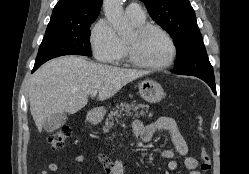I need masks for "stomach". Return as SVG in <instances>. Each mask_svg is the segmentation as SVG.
I'll return each instance as SVG.
<instances>
[{"instance_id": "0dacf381", "label": "stomach", "mask_w": 249, "mask_h": 174, "mask_svg": "<svg viewBox=\"0 0 249 174\" xmlns=\"http://www.w3.org/2000/svg\"><path fill=\"white\" fill-rule=\"evenodd\" d=\"M139 93L141 97L150 103H157L164 97L163 88L159 83L153 80H143L139 83ZM105 109L100 107L92 111L89 116L91 120L98 121L103 118Z\"/></svg>"}]
</instances>
